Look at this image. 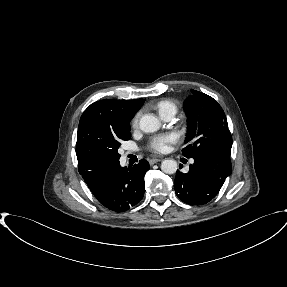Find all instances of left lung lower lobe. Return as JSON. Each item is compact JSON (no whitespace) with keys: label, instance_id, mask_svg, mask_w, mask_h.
<instances>
[{"label":"left lung lower lobe","instance_id":"1","mask_svg":"<svg viewBox=\"0 0 287 287\" xmlns=\"http://www.w3.org/2000/svg\"><path fill=\"white\" fill-rule=\"evenodd\" d=\"M194 164L187 173L176 172L174 188L183 202L202 205L214 198L231 174L230 154L210 151L192 157Z\"/></svg>","mask_w":287,"mask_h":287}]
</instances>
